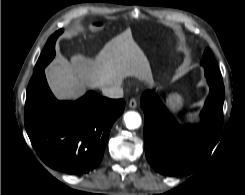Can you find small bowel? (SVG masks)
I'll list each match as a JSON object with an SVG mask.
<instances>
[{
    "mask_svg": "<svg viewBox=\"0 0 245 195\" xmlns=\"http://www.w3.org/2000/svg\"><path fill=\"white\" fill-rule=\"evenodd\" d=\"M95 26L101 27V26H102V23H101V22H96V23H95Z\"/></svg>",
    "mask_w": 245,
    "mask_h": 195,
    "instance_id": "small-bowel-1",
    "label": "small bowel"
}]
</instances>
